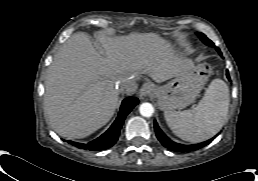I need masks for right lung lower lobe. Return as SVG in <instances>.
<instances>
[{
	"instance_id": "obj_1",
	"label": "right lung lower lobe",
	"mask_w": 258,
	"mask_h": 181,
	"mask_svg": "<svg viewBox=\"0 0 258 181\" xmlns=\"http://www.w3.org/2000/svg\"><path fill=\"white\" fill-rule=\"evenodd\" d=\"M138 102V99L135 97H128L124 99L118 117L114 123L104 134H102L97 139L89 142L88 144L77 143L73 141L68 142L80 149H86L90 151H100L112 147L118 140L120 129L124 123L125 117L138 104Z\"/></svg>"
}]
</instances>
